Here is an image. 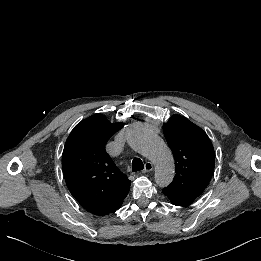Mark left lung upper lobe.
<instances>
[{
    "label": "left lung upper lobe",
    "mask_w": 261,
    "mask_h": 261,
    "mask_svg": "<svg viewBox=\"0 0 261 261\" xmlns=\"http://www.w3.org/2000/svg\"><path fill=\"white\" fill-rule=\"evenodd\" d=\"M163 132L176 163L174 180L167 188L195 199L212 177L213 145L200 127L180 115H173L164 123Z\"/></svg>",
    "instance_id": "5c2ea615"
}]
</instances>
